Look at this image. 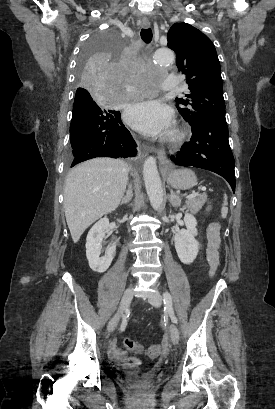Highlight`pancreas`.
<instances>
[{"instance_id": "obj_1", "label": "pancreas", "mask_w": 275, "mask_h": 409, "mask_svg": "<svg viewBox=\"0 0 275 409\" xmlns=\"http://www.w3.org/2000/svg\"><path fill=\"white\" fill-rule=\"evenodd\" d=\"M206 200L207 194L203 192V194H197V196H193V198H188L186 205L189 207L192 215H196V213L202 209L203 205H205Z\"/></svg>"}]
</instances>
